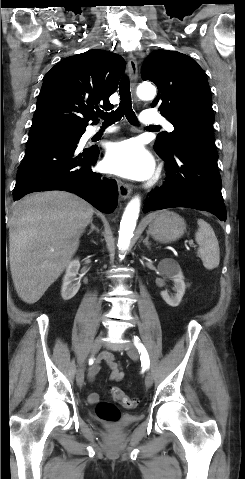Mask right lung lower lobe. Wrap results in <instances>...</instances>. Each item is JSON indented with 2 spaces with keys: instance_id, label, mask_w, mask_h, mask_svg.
Wrapping results in <instances>:
<instances>
[{
  "instance_id": "right-lung-lower-lobe-1",
  "label": "right lung lower lobe",
  "mask_w": 245,
  "mask_h": 479,
  "mask_svg": "<svg viewBox=\"0 0 245 479\" xmlns=\"http://www.w3.org/2000/svg\"><path fill=\"white\" fill-rule=\"evenodd\" d=\"M81 136L51 138L27 147L17 171L13 199L36 191L65 190L102 212L112 213L118 202L117 183L92 171L90 167L95 165L99 149L79 152Z\"/></svg>"
}]
</instances>
